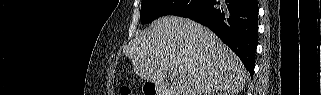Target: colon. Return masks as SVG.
Returning a JSON list of instances; mask_svg holds the SVG:
<instances>
[{
    "label": "colon",
    "instance_id": "obj_1",
    "mask_svg": "<svg viewBox=\"0 0 321 95\" xmlns=\"http://www.w3.org/2000/svg\"><path fill=\"white\" fill-rule=\"evenodd\" d=\"M131 92H130V89L128 87H123L121 89V94L123 95H129Z\"/></svg>",
    "mask_w": 321,
    "mask_h": 95
}]
</instances>
